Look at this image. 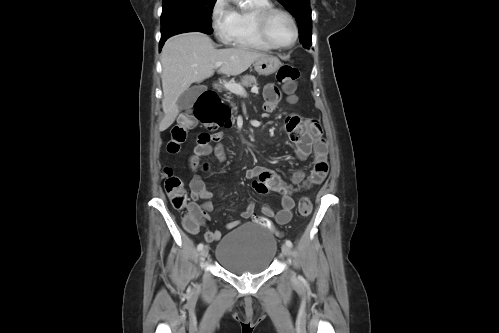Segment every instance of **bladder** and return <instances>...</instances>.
I'll use <instances>...</instances> for the list:
<instances>
[{
    "label": "bladder",
    "instance_id": "31cf9c89",
    "mask_svg": "<svg viewBox=\"0 0 499 333\" xmlns=\"http://www.w3.org/2000/svg\"><path fill=\"white\" fill-rule=\"evenodd\" d=\"M276 251L277 241L271 232L245 223L220 239L215 259L230 273L259 274L270 268Z\"/></svg>",
    "mask_w": 499,
    "mask_h": 333
}]
</instances>
